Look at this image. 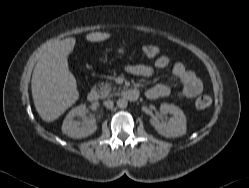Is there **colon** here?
<instances>
[{
  "mask_svg": "<svg viewBox=\"0 0 249 188\" xmlns=\"http://www.w3.org/2000/svg\"><path fill=\"white\" fill-rule=\"evenodd\" d=\"M143 54L146 57H154L158 54L159 48L155 44H147L142 48ZM211 105V98L207 95L200 96L196 101V106L199 109H206Z\"/></svg>",
  "mask_w": 249,
  "mask_h": 188,
  "instance_id": "obj_1",
  "label": "colon"
}]
</instances>
